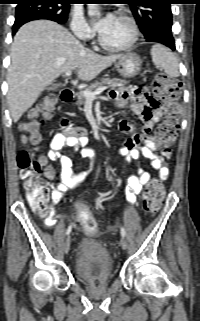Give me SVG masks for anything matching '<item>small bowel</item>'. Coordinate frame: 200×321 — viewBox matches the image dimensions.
I'll list each match as a JSON object with an SVG mask.
<instances>
[{
  "label": "small bowel",
  "mask_w": 200,
  "mask_h": 321,
  "mask_svg": "<svg viewBox=\"0 0 200 321\" xmlns=\"http://www.w3.org/2000/svg\"><path fill=\"white\" fill-rule=\"evenodd\" d=\"M139 87V84H136ZM108 97L118 106H129L139 119L140 130L135 131V125L128 123L126 120L119 122V128L127 134V138L119 152L124 157L128 165L135 163L136 172L127 176L126 193L127 200L131 205L136 203L137 196L141 193L143 187L149 183L150 175L141 166V159H149L153 169L159 173L161 181L169 177V168L167 160L170 155L164 153L158 154V143L154 135L151 134L153 127L161 120L164 111V105L151 97L146 89L131 88V91L125 89L111 90ZM88 142L86 131L84 129H74L71 126L64 133L56 134L50 143V149L41 159L58 162L59 182H55L56 168L50 167L47 172L48 187L51 190V215L45 218V225L52 227L57 223L54 212L55 205L63 198L67 189L76 181L72 171V160L69 155L63 153V149L70 147L77 149L85 146ZM86 154L90 150L85 149Z\"/></svg>",
  "instance_id": "small-bowel-1"
}]
</instances>
